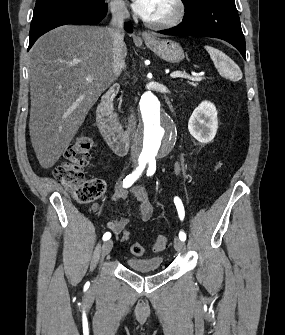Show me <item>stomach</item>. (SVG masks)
<instances>
[{"label": "stomach", "mask_w": 285, "mask_h": 335, "mask_svg": "<svg viewBox=\"0 0 285 335\" xmlns=\"http://www.w3.org/2000/svg\"><path fill=\"white\" fill-rule=\"evenodd\" d=\"M145 44L151 52H154L165 62H170V64H177L184 58L181 46L173 40H156V38H153V42H145Z\"/></svg>", "instance_id": "1"}]
</instances>
